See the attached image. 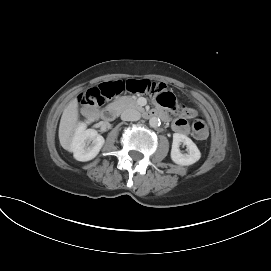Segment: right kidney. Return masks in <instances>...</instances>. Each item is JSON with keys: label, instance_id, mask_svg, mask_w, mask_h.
I'll return each mask as SVG.
<instances>
[{"label": "right kidney", "instance_id": "1", "mask_svg": "<svg viewBox=\"0 0 271 271\" xmlns=\"http://www.w3.org/2000/svg\"><path fill=\"white\" fill-rule=\"evenodd\" d=\"M104 138L94 129H86V123H79L71 144L70 151L78 161H89L94 159L102 146Z\"/></svg>", "mask_w": 271, "mask_h": 271}]
</instances>
